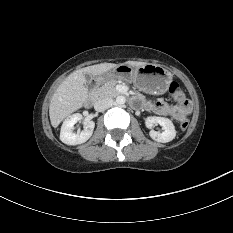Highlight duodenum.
<instances>
[{
    "label": "duodenum",
    "mask_w": 233,
    "mask_h": 233,
    "mask_svg": "<svg viewBox=\"0 0 233 233\" xmlns=\"http://www.w3.org/2000/svg\"><path fill=\"white\" fill-rule=\"evenodd\" d=\"M98 85H99V80H94L90 84L92 90L96 89ZM93 100H94V96L92 94L89 95L85 100V105L89 106L93 102Z\"/></svg>",
    "instance_id": "1"
}]
</instances>
